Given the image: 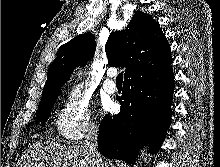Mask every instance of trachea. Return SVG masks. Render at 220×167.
<instances>
[{"instance_id": "trachea-1", "label": "trachea", "mask_w": 220, "mask_h": 167, "mask_svg": "<svg viewBox=\"0 0 220 167\" xmlns=\"http://www.w3.org/2000/svg\"><path fill=\"white\" fill-rule=\"evenodd\" d=\"M116 82L117 83H122L123 82V72L118 74V76L116 77Z\"/></svg>"}]
</instances>
